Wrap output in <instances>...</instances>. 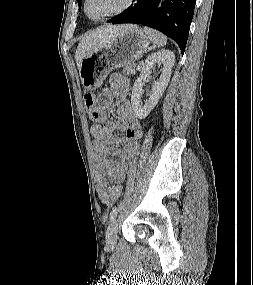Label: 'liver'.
Here are the masks:
<instances>
[{
	"label": "liver",
	"mask_w": 253,
	"mask_h": 285,
	"mask_svg": "<svg viewBox=\"0 0 253 285\" xmlns=\"http://www.w3.org/2000/svg\"><path fill=\"white\" fill-rule=\"evenodd\" d=\"M134 25H107L86 33L77 46L75 60L79 68L82 59L89 53L105 46L120 34L134 28Z\"/></svg>",
	"instance_id": "obj_1"
}]
</instances>
